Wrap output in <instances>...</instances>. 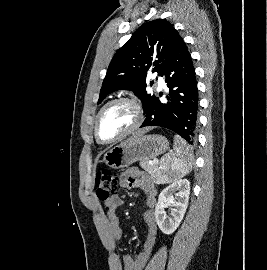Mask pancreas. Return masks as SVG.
I'll return each mask as SVG.
<instances>
[{"label": "pancreas", "instance_id": "1", "mask_svg": "<svg viewBox=\"0 0 267 270\" xmlns=\"http://www.w3.org/2000/svg\"><path fill=\"white\" fill-rule=\"evenodd\" d=\"M140 166L151 175V178L155 183L159 182L160 171L158 169L157 163L149 164L148 161H141Z\"/></svg>", "mask_w": 267, "mask_h": 270}]
</instances>
